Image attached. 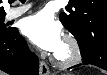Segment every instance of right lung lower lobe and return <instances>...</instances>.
Wrapping results in <instances>:
<instances>
[{
	"label": "right lung lower lobe",
	"instance_id": "right-lung-lower-lobe-1",
	"mask_svg": "<svg viewBox=\"0 0 107 75\" xmlns=\"http://www.w3.org/2000/svg\"><path fill=\"white\" fill-rule=\"evenodd\" d=\"M0 70L11 75H39V61L16 28L0 37Z\"/></svg>",
	"mask_w": 107,
	"mask_h": 75
}]
</instances>
